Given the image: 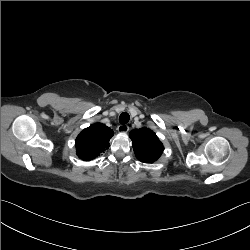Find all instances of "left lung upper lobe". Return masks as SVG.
<instances>
[{"label":"left lung upper lobe","instance_id":"1","mask_svg":"<svg viewBox=\"0 0 250 250\" xmlns=\"http://www.w3.org/2000/svg\"><path fill=\"white\" fill-rule=\"evenodd\" d=\"M136 157L146 163L156 161L162 154L164 147L156 134L148 129H134L130 132Z\"/></svg>","mask_w":250,"mask_h":250}]
</instances>
